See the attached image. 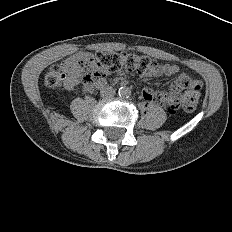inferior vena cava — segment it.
Masks as SVG:
<instances>
[{
  "mask_svg": "<svg viewBox=\"0 0 232 232\" xmlns=\"http://www.w3.org/2000/svg\"><path fill=\"white\" fill-rule=\"evenodd\" d=\"M115 90L113 87L111 86H106L104 88L101 89L100 91V95L103 97V98H111L115 95Z\"/></svg>",
  "mask_w": 232,
  "mask_h": 232,
  "instance_id": "602c4592",
  "label": "inferior vena cava"
}]
</instances>
